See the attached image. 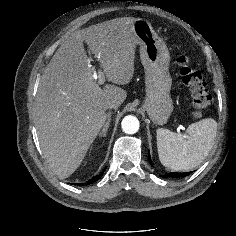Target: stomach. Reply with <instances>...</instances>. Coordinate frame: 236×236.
<instances>
[{
	"mask_svg": "<svg viewBox=\"0 0 236 236\" xmlns=\"http://www.w3.org/2000/svg\"><path fill=\"white\" fill-rule=\"evenodd\" d=\"M133 30L138 39L140 58L145 70L146 97L143 108L154 124L164 125L173 112L169 50L148 21L136 19Z\"/></svg>",
	"mask_w": 236,
	"mask_h": 236,
	"instance_id": "0dacf381",
	"label": "stomach"
}]
</instances>
